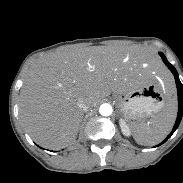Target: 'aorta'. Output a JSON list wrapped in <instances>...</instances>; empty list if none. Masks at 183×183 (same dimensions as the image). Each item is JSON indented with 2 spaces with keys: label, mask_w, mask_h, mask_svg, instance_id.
I'll use <instances>...</instances> for the list:
<instances>
[{
  "label": "aorta",
  "mask_w": 183,
  "mask_h": 183,
  "mask_svg": "<svg viewBox=\"0 0 183 183\" xmlns=\"http://www.w3.org/2000/svg\"><path fill=\"white\" fill-rule=\"evenodd\" d=\"M112 111V106L107 103L102 104L99 109V112L102 116H110L112 114Z\"/></svg>",
  "instance_id": "762f6f07"
}]
</instances>
